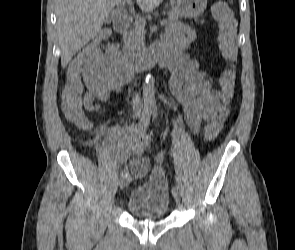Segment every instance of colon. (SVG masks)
I'll use <instances>...</instances> for the list:
<instances>
[{"instance_id": "5ec220e1", "label": "colon", "mask_w": 295, "mask_h": 250, "mask_svg": "<svg viewBox=\"0 0 295 250\" xmlns=\"http://www.w3.org/2000/svg\"><path fill=\"white\" fill-rule=\"evenodd\" d=\"M214 19L218 24V45L220 52L228 67L223 72L220 79V86L224 95V104L228 102L234 94L235 74L233 65L237 59V47L235 43L236 22L224 2H217L212 8ZM107 37V32L102 31L83 50L89 53H97L101 49L102 43ZM82 85L75 77H66L65 85L61 93V106L66 119L81 129L90 128L91 124L86 117L81 103ZM224 119H218L209 123L204 130V137L207 141L214 140L223 127Z\"/></svg>"}]
</instances>
